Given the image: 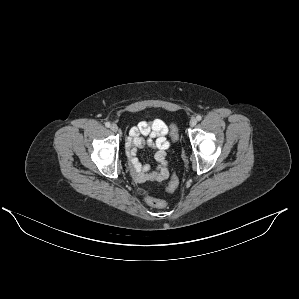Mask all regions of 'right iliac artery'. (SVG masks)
<instances>
[{
	"mask_svg": "<svg viewBox=\"0 0 299 299\" xmlns=\"http://www.w3.org/2000/svg\"><path fill=\"white\" fill-rule=\"evenodd\" d=\"M105 126H106L107 128H109V127H110V123H109V122H106V123H105Z\"/></svg>",
	"mask_w": 299,
	"mask_h": 299,
	"instance_id": "1",
	"label": "right iliac artery"
}]
</instances>
